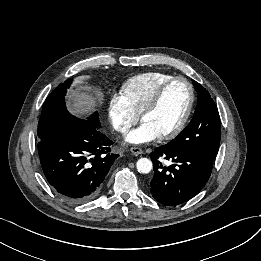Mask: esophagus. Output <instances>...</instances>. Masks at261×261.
I'll use <instances>...</instances> for the list:
<instances>
[{"mask_svg":"<svg viewBox=\"0 0 261 261\" xmlns=\"http://www.w3.org/2000/svg\"><path fill=\"white\" fill-rule=\"evenodd\" d=\"M130 151H131V153H132L133 155H135V156H138V155L143 154V150H142L141 148H139V147H132V148L130 149Z\"/></svg>","mask_w":261,"mask_h":261,"instance_id":"34e87169","label":"esophagus"}]
</instances>
